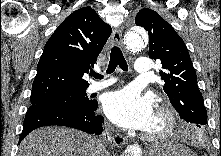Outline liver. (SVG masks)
I'll list each match as a JSON object with an SVG mask.
<instances>
[{"instance_id":"1","label":"liver","mask_w":221,"mask_h":156,"mask_svg":"<svg viewBox=\"0 0 221 156\" xmlns=\"http://www.w3.org/2000/svg\"><path fill=\"white\" fill-rule=\"evenodd\" d=\"M102 143L94 136L64 127L32 131L19 146V156H102Z\"/></svg>"}]
</instances>
